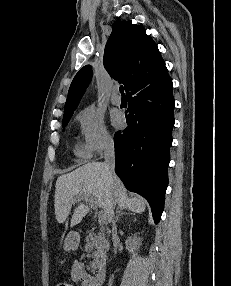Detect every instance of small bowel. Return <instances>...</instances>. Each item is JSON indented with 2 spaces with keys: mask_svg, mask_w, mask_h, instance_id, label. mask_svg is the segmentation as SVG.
Returning a JSON list of instances; mask_svg holds the SVG:
<instances>
[{
  "mask_svg": "<svg viewBox=\"0 0 231 286\" xmlns=\"http://www.w3.org/2000/svg\"><path fill=\"white\" fill-rule=\"evenodd\" d=\"M72 281L80 283L81 286H98L95 277L90 275L79 260H74L70 267Z\"/></svg>",
  "mask_w": 231,
  "mask_h": 286,
  "instance_id": "obj_1",
  "label": "small bowel"
}]
</instances>
